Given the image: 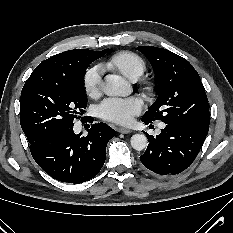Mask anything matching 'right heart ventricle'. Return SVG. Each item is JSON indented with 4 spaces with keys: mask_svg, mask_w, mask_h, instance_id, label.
<instances>
[{
    "mask_svg": "<svg viewBox=\"0 0 233 233\" xmlns=\"http://www.w3.org/2000/svg\"><path fill=\"white\" fill-rule=\"evenodd\" d=\"M106 67L118 71L131 80L140 77L146 69L144 60L130 51H121L112 55L106 63Z\"/></svg>",
    "mask_w": 233,
    "mask_h": 233,
    "instance_id": "right-heart-ventricle-1",
    "label": "right heart ventricle"
}]
</instances>
